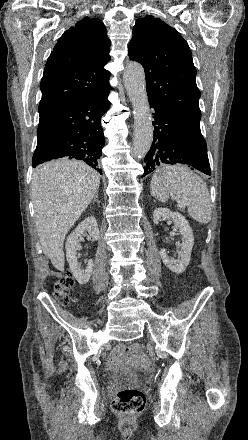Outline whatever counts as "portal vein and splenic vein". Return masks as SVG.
Here are the masks:
<instances>
[{
  "mask_svg": "<svg viewBox=\"0 0 248 440\" xmlns=\"http://www.w3.org/2000/svg\"><path fill=\"white\" fill-rule=\"evenodd\" d=\"M186 205L185 202L180 203V206L184 207Z\"/></svg>",
  "mask_w": 248,
  "mask_h": 440,
  "instance_id": "18ae733b",
  "label": "portal vein and splenic vein"
}]
</instances>
